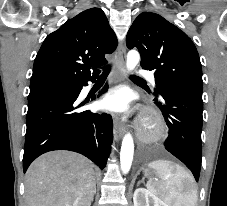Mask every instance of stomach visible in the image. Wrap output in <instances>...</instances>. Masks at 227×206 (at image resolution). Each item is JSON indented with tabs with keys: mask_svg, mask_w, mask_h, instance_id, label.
<instances>
[{
	"mask_svg": "<svg viewBox=\"0 0 227 206\" xmlns=\"http://www.w3.org/2000/svg\"><path fill=\"white\" fill-rule=\"evenodd\" d=\"M153 174H154V172L151 171V170H149V169H145V170H144V175H145L146 177H151V176H153Z\"/></svg>",
	"mask_w": 227,
	"mask_h": 206,
	"instance_id": "stomach-1",
	"label": "stomach"
}]
</instances>
